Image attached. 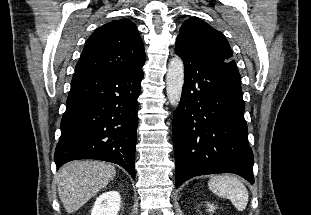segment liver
Listing matches in <instances>:
<instances>
[{
	"mask_svg": "<svg viewBox=\"0 0 311 215\" xmlns=\"http://www.w3.org/2000/svg\"><path fill=\"white\" fill-rule=\"evenodd\" d=\"M112 164L77 160L64 165L57 174L58 193L68 213L80 209L115 177Z\"/></svg>",
	"mask_w": 311,
	"mask_h": 215,
	"instance_id": "liver-1",
	"label": "liver"
}]
</instances>
